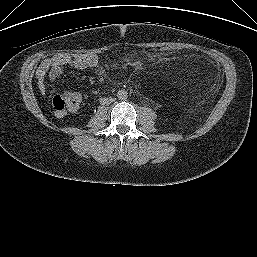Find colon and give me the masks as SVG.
I'll return each mask as SVG.
<instances>
[{
    "instance_id": "obj_1",
    "label": "colon",
    "mask_w": 257,
    "mask_h": 257,
    "mask_svg": "<svg viewBox=\"0 0 257 257\" xmlns=\"http://www.w3.org/2000/svg\"><path fill=\"white\" fill-rule=\"evenodd\" d=\"M173 52L174 49L170 46L161 48V53L164 55H170ZM80 101V96L75 93H62L52 96L51 105L56 114H65L75 112L79 108Z\"/></svg>"
}]
</instances>
